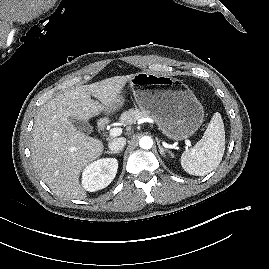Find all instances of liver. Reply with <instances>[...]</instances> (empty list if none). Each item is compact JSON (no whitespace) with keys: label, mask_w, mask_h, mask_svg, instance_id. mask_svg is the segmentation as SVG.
I'll list each match as a JSON object with an SVG mask.
<instances>
[{"label":"liver","mask_w":269,"mask_h":269,"mask_svg":"<svg viewBox=\"0 0 269 269\" xmlns=\"http://www.w3.org/2000/svg\"><path fill=\"white\" fill-rule=\"evenodd\" d=\"M134 75L114 76L76 87L51 99L38 112L32 131V160L38 175L56 195L86 198L79 182L80 173L104 150L99 139L77 130L70 118L87 122L100 115L113 105Z\"/></svg>","instance_id":"6515ba94"}]
</instances>
